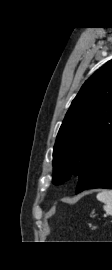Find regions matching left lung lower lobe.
Returning <instances> with one entry per match:
<instances>
[{
    "mask_svg": "<svg viewBox=\"0 0 112 270\" xmlns=\"http://www.w3.org/2000/svg\"><path fill=\"white\" fill-rule=\"evenodd\" d=\"M91 188L112 189V147L105 153L91 172L79 181L76 194Z\"/></svg>",
    "mask_w": 112,
    "mask_h": 270,
    "instance_id": "0a47b994",
    "label": "left lung lower lobe"
}]
</instances>
